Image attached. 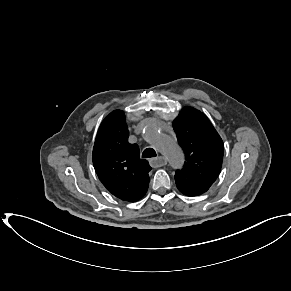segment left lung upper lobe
Masks as SVG:
<instances>
[{
    "label": "left lung upper lobe",
    "instance_id": "obj_1",
    "mask_svg": "<svg viewBox=\"0 0 291 291\" xmlns=\"http://www.w3.org/2000/svg\"><path fill=\"white\" fill-rule=\"evenodd\" d=\"M173 129L186 160L175 173L176 186L187 196L201 195L221 171L223 141L206 115L192 107L181 110L173 121Z\"/></svg>",
    "mask_w": 291,
    "mask_h": 291
}]
</instances>
